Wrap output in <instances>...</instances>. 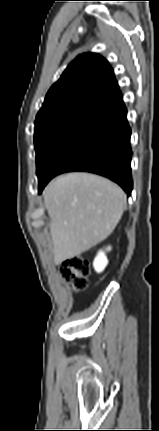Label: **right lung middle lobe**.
<instances>
[{
    "label": "right lung middle lobe",
    "mask_w": 159,
    "mask_h": 431,
    "mask_svg": "<svg viewBox=\"0 0 159 431\" xmlns=\"http://www.w3.org/2000/svg\"><path fill=\"white\" fill-rule=\"evenodd\" d=\"M85 121L67 115L49 116L35 121L34 143L38 176L57 145Z\"/></svg>",
    "instance_id": "1"
}]
</instances>
